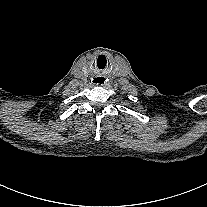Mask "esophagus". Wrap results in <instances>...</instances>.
<instances>
[{"label":"esophagus","instance_id":"1","mask_svg":"<svg viewBox=\"0 0 207 207\" xmlns=\"http://www.w3.org/2000/svg\"><path fill=\"white\" fill-rule=\"evenodd\" d=\"M94 82L97 86L102 87L106 84L107 79L104 75L99 74L95 77Z\"/></svg>","mask_w":207,"mask_h":207}]
</instances>
